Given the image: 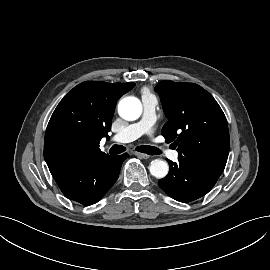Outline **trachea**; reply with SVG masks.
Segmentation results:
<instances>
[{
	"mask_svg": "<svg viewBox=\"0 0 270 270\" xmlns=\"http://www.w3.org/2000/svg\"><path fill=\"white\" fill-rule=\"evenodd\" d=\"M125 150H126V148L124 146H122V145H113L110 148L109 152H110V154L115 155V154H120V153L124 152ZM135 150H137L138 152H141V153H146L148 155H158V154H160V151L154 146H144V145H142V146L136 147Z\"/></svg>",
	"mask_w": 270,
	"mask_h": 270,
	"instance_id": "1",
	"label": "trachea"
}]
</instances>
